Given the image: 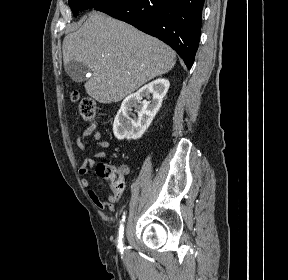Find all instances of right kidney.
Masks as SVG:
<instances>
[{
	"label": "right kidney",
	"mask_w": 288,
	"mask_h": 280,
	"mask_svg": "<svg viewBox=\"0 0 288 280\" xmlns=\"http://www.w3.org/2000/svg\"><path fill=\"white\" fill-rule=\"evenodd\" d=\"M169 86L167 79H156L127 96L113 123L115 137L120 140L140 138L160 109ZM132 108L136 109L137 116L131 113Z\"/></svg>",
	"instance_id": "right-kidney-1"
}]
</instances>
